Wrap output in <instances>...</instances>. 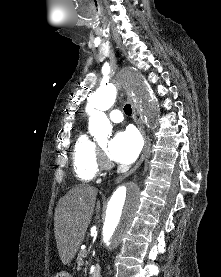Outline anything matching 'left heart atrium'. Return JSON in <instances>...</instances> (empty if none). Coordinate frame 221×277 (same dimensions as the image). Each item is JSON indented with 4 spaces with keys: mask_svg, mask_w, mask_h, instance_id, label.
I'll use <instances>...</instances> for the list:
<instances>
[{
    "mask_svg": "<svg viewBox=\"0 0 221 277\" xmlns=\"http://www.w3.org/2000/svg\"><path fill=\"white\" fill-rule=\"evenodd\" d=\"M142 148V140L133 128L119 131L108 146L109 157L119 163L130 164L136 160Z\"/></svg>",
    "mask_w": 221,
    "mask_h": 277,
    "instance_id": "left-heart-atrium-1",
    "label": "left heart atrium"
}]
</instances>
